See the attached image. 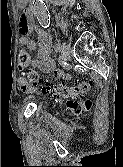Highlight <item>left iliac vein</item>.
I'll return each instance as SVG.
<instances>
[{
	"instance_id": "4c4485c4",
	"label": "left iliac vein",
	"mask_w": 123,
	"mask_h": 167,
	"mask_svg": "<svg viewBox=\"0 0 123 167\" xmlns=\"http://www.w3.org/2000/svg\"><path fill=\"white\" fill-rule=\"evenodd\" d=\"M61 47H62L61 62H65L68 59V56L70 54L69 46L67 45V43L63 42L61 44Z\"/></svg>"
}]
</instances>
